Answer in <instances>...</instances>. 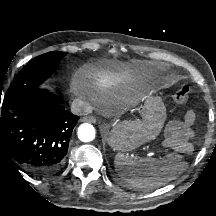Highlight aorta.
<instances>
[{
  "mask_svg": "<svg viewBox=\"0 0 216 216\" xmlns=\"http://www.w3.org/2000/svg\"><path fill=\"white\" fill-rule=\"evenodd\" d=\"M95 128L93 125L84 123L78 128V138L83 142H90L95 139Z\"/></svg>",
  "mask_w": 216,
  "mask_h": 216,
  "instance_id": "obj_1",
  "label": "aorta"
}]
</instances>
